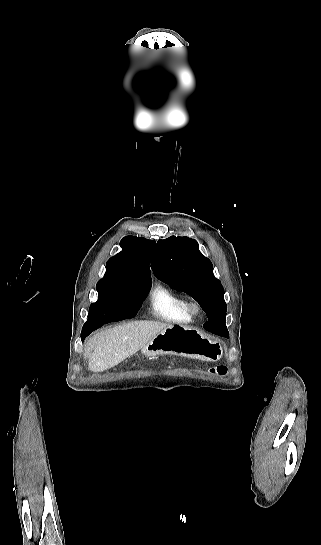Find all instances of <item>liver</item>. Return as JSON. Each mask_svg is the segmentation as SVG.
I'll list each match as a JSON object with an SVG mask.
<instances>
[{"instance_id": "obj_1", "label": "liver", "mask_w": 321, "mask_h": 545, "mask_svg": "<svg viewBox=\"0 0 321 545\" xmlns=\"http://www.w3.org/2000/svg\"><path fill=\"white\" fill-rule=\"evenodd\" d=\"M169 327L171 325L157 323V321H131V323L101 331L93 335L86 343L84 359H88L90 371L102 373L135 355L153 337L163 333L164 329Z\"/></svg>"}]
</instances>
